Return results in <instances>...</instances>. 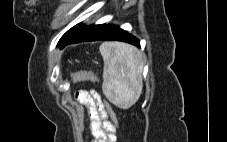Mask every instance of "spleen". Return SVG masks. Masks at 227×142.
I'll return each mask as SVG.
<instances>
[{"label": "spleen", "instance_id": "3e777b00", "mask_svg": "<svg viewBox=\"0 0 227 142\" xmlns=\"http://www.w3.org/2000/svg\"><path fill=\"white\" fill-rule=\"evenodd\" d=\"M104 61L102 90L114 105L127 109L139 99L142 88L143 56L133 46L119 42L100 45Z\"/></svg>", "mask_w": 227, "mask_h": 142}]
</instances>
